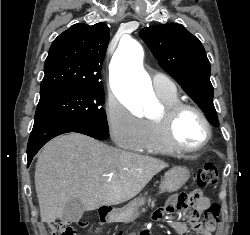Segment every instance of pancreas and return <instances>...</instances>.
Segmentation results:
<instances>
[{
	"label": "pancreas",
	"mask_w": 250,
	"mask_h": 235,
	"mask_svg": "<svg viewBox=\"0 0 250 235\" xmlns=\"http://www.w3.org/2000/svg\"><path fill=\"white\" fill-rule=\"evenodd\" d=\"M151 203V206L152 207H154L155 206V201H151V200H149V204ZM143 211H145V210H143Z\"/></svg>",
	"instance_id": "cf45deb5"
}]
</instances>
